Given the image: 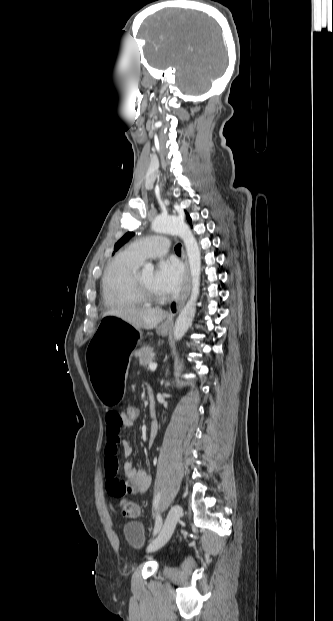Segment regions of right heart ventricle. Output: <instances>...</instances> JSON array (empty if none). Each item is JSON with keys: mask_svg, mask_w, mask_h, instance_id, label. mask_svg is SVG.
Masks as SVG:
<instances>
[{"mask_svg": "<svg viewBox=\"0 0 333 621\" xmlns=\"http://www.w3.org/2000/svg\"><path fill=\"white\" fill-rule=\"evenodd\" d=\"M141 262L128 252L116 256L102 280V297L109 307L135 306L144 301L133 290L132 279Z\"/></svg>", "mask_w": 333, "mask_h": 621, "instance_id": "e07e8e85", "label": "right heart ventricle"}]
</instances>
